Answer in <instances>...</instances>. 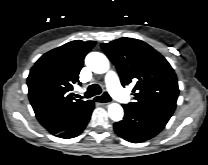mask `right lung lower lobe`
<instances>
[{
    "mask_svg": "<svg viewBox=\"0 0 208 165\" xmlns=\"http://www.w3.org/2000/svg\"><path fill=\"white\" fill-rule=\"evenodd\" d=\"M93 109L94 103L89 107L85 115L74 126L59 133H56L55 135L64 139H70L80 135L85 129L87 123L89 122Z\"/></svg>",
    "mask_w": 208,
    "mask_h": 165,
    "instance_id": "98d812e1",
    "label": "right lung lower lobe"
}]
</instances>
